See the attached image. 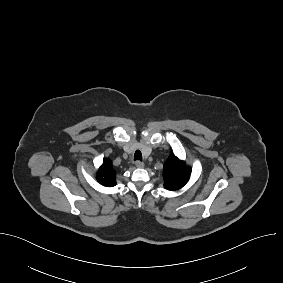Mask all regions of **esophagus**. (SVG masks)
<instances>
[{
    "mask_svg": "<svg viewBox=\"0 0 283 283\" xmlns=\"http://www.w3.org/2000/svg\"><path fill=\"white\" fill-rule=\"evenodd\" d=\"M135 166L137 168H143L144 167V163L138 160V161H136Z\"/></svg>",
    "mask_w": 283,
    "mask_h": 283,
    "instance_id": "esophagus-1",
    "label": "esophagus"
}]
</instances>
